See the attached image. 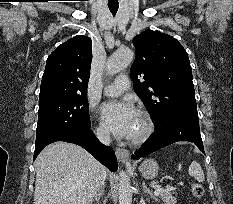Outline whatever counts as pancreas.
Returning a JSON list of instances; mask_svg holds the SVG:
<instances>
[{"instance_id": "1", "label": "pancreas", "mask_w": 233, "mask_h": 204, "mask_svg": "<svg viewBox=\"0 0 233 204\" xmlns=\"http://www.w3.org/2000/svg\"><path fill=\"white\" fill-rule=\"evenodd\" d=\"M160 198L165 204H176V198L171 191H164L160 194Z\"/></svg>"}]
</instances>
